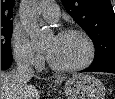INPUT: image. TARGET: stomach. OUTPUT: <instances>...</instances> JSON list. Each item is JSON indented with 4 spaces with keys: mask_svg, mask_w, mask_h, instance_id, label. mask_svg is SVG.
I'll list each match as a JSON object with an SVG mask.
<instances>
[{
    "mask_svg": "<svg viewBox=\"0 0 115 99\" xmlns=\"http://www.w3.org/2000/svg\"><path fill=\"white\" fill-rule=\"evenodd\" d=\"M64 92L67 99H104L106 94L104 84L86 74L69 78L65 83Z\"/></svg>",
    "mask_w": 115,
    "mask_h": 99,
    "instance_id": "0dacf381",
    "label": "stomach"
}]
</instances>
